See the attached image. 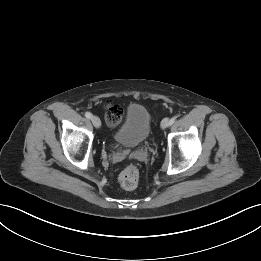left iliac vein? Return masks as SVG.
Segmentation results:
<instances>
[{
	"label": "left iliac vein",
	"instance_id": "1",
	"mask_svg": "<svg viewBox=\"0 0 261 261\" xmlns=\"http://www.w3.org/2000/svg\"><path fill=\"white\" fill-rule=\"evenodd\" d=\"M169 126H170V119L169 118H164L161 121V128L165 129V128L169 127Z\"/></svg>",
	"mask_w": 261,
	"mask_h": 261
}]
</instances>
